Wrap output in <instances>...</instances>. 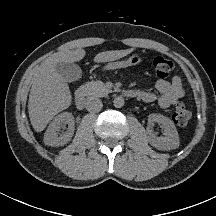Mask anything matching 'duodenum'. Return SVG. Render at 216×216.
Instances as JSON below:
<instances>
[{
	"instance_id": "duodenum-1",
	"label": "duodenum",
	"mask_w": 216,
	"mask_h": 216,
	"mask_svg": "<svg viewBox=\"0 0 216 216\" xmlns=\"http://www.w3.org/2000/svg\"><path fill=\"white\" fill-rule=\"evenodd\" d=\"M125 96L133 99H142V94L138 91L127 90L125 91ZM87 88L86 86H81L76 93V105L78 109H83L86 105Z\"/></svg>"
}]
</instances>
